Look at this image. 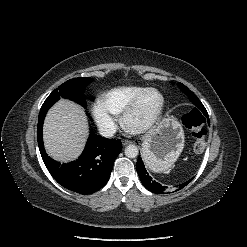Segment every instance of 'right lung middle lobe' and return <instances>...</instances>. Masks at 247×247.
Here are the masks:
<instances>
[{"label":"right lung middle lobe","instance_id":"dd1d6c3e","mask_svg":"<svg viewBox=\"0 0 247 247\" xmlns=\"http://www.w3.org/2000/svg\"><path fill=\"white\" fill-rule=\"evenodd\" d=\"M92 81V78L70 79L56 88L47 99L59 100L60 98H66L86 107L84 91L86 86Z\"/></svg>","mask_w":247,"mask_h":247}]
</instances>
